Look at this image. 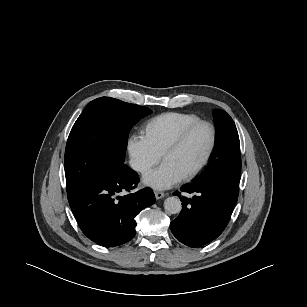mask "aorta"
<instances>
[{"label": "aorta", "instance_id": "aorta-1", "mask_svg": "<svg viewBox=\"0 0 307 307\" xmlns=\"http://www.w3.org/2000/svg\"><path fill=\"white\" fill-rule=\"evenodd\" d=\"M164 208L170 214H178L182 209V203L179 198L172 196L164 201Z\"/></svg>", "mask_w": 307, "mask_h": 307}]
</instances>
